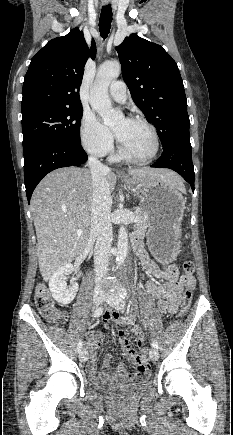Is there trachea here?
I'll return each instance as SVG.
<instances>
[{
  "label": "trachea",
  "instance_id": "obj_1",
  "mask_svg": "<svg viewBox=\"0 0 233 435\" xmlns=\"http://www.w3.org/2000/svg\"><path fill=\"white\" fill-rule=\"evenodd\" d=\"M111 22H112V8L111 5L108 4L102 7L101 15L99 19V31L103 39L107 38L109 34L111 28Z\"/></svg>",
  "mask_w": 233,
  "mask_h": 435
}]
</instances>
